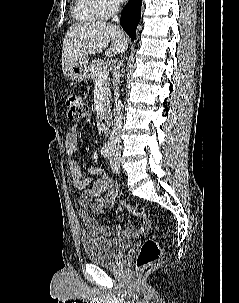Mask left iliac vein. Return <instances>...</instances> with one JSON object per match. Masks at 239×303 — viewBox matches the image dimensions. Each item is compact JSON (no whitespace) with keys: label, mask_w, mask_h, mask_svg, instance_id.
<instances>
[{"label":"left iliac vein","mask_w":239,"mask_h":303,"mask_svg":"<svg viewBox=\"0 0 239 303\" xmlns=\"http://www.w3.org/2000/svg\"><path fill=\"white\" fill-rule=\"evenodd\" d=\"M109 163H110L111 169L113 170L114 173L120 172V159L119 158H114L111 155H109Z\"/></svg>","instance_id":"1"}]
</instances>
